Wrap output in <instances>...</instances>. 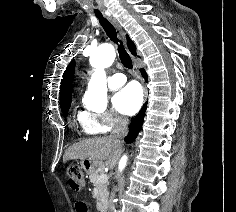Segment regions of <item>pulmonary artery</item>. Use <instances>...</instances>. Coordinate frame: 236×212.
I'll use <instances>...</instances> for the list:
<instances>
[{
  "instance_id": "1",
  "label": "pulmonary artery",
  "mask_w": 236,
  "mask_h": 212,
  "mask_svg": "<svg viewBox=\"0 0 236 212\" xmlns=\"http://www.w3.org/2000/svg\"><path fill=\"white\" fill-rule=\"evenodd\" d=\"M126 82V77L122 73H115L108 78V87L110 89H116L122 86Z\"/></svg>"
}]
</instances>
